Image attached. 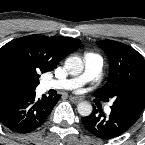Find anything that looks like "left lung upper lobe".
<instances>
[{
    "instance_id": "1",
    "label": "left lung upper lobe",
    "mask_w": 145,
    "mask_h": 145,
    "mask_svg": "<svg viewBox=\"0 0 145 145\" xmlns=\"http://www.w3.org/2000/svg\"><path fill=\"white\" fill-rule=\"evenodd\" d=\"M109 59V80L98 90L101 97L115 98L111 110L132 125L145 107V61L132 47L112 40L97 41Z\"/></svg>"
}]
</instances>
